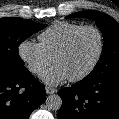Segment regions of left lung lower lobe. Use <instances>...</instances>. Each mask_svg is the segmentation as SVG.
Segmentation results:
<instances>
[{
  "instance_id": "obj_1",
  "label": "left lung lower lobe",
  "mask_w": 119,
  "mask_h": 119,
  "mask_svg": "<svg viewBox=\"0 0 119 119\" xmlns=\"http://www.w3.org/2000/svg\"><path fill=\"white\" fill-rule=\"evenodd\" d=\"M59 95L58 119H119V72L88 75Z\"/></svg>"
}]
</instances>
